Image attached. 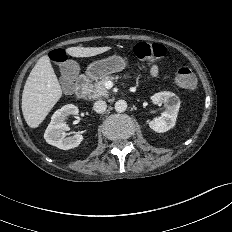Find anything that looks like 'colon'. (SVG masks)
Returning <instances> with one entry per match:
<instances>
[{
  "mask_svg": "<svg viewBox=\"0 0 232 232\" xmlns=\"http://www.w3.org/2000/svg\"><path fill=\"white\" fill-rule=\"evenodd\" d=\"M133 52L139 60L155 61L166 54L165 46L158 43L139 42L134 45ZM50 58L57 63L63 64V85L70 88L72 78L75 74V66L68 62V57L63 49H54L50 52ZM176 84L183 89H192L196 85V77L193 72L185 66L179 67L174 76Z\"/></svg>",
  "mask_w": 232,
  "mask_h": 232,
  "instance_id": "5ec220e1",
  "label": "colon"
}]
</instances>
